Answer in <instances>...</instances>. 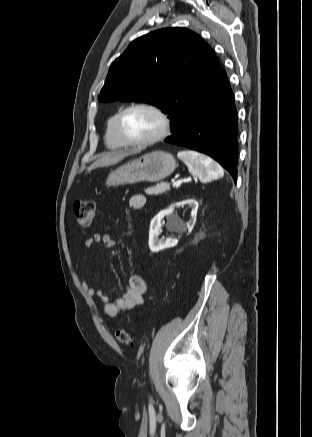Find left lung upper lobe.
<instances>
[{"label":"left lung upper lobe","instance_id":"1","mask_svg":"<svg viewBox=\"0 0 312 437\" xmlns=\"http://www.w3.org/2000/svg\"><path fill=\"white\" fill-rule=\"evenodd\" d=\"M219 72L217 57L199 35L179 27L161 29L131 42L111 64L98 99L157 106L174 130Z\"/></svg>","mask_w":312,"mask_h":437}]
</instances>
